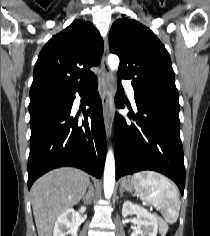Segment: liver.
I'll return each instance as SVG.
<instances>
[{"mask_svg": "<svg viewBox=\"0 0 210 236\" xmlns=\"http://www.w3.org/2000/svg\"><path fill=\"white\" fill-rule=\"evenodd\" d=\"M89 184L87 173L69 167L50 171L35 181L30 192L38 236H52L56 219L80 202Z\"/></svg>", "mask_w": 210, "mask_h": 236, "instance_id": "1", "label": "liver"}]
</instances>
